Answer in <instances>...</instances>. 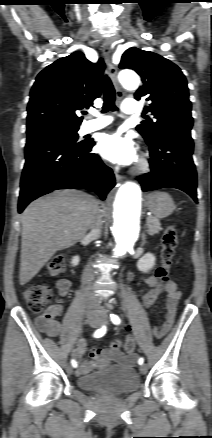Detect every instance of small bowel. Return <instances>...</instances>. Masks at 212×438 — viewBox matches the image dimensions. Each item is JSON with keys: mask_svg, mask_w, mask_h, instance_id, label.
I'll return each instance as SVG.
<instances>
[{"mask_svg": "<svg viewBox=\"0 0 212 438\" xmlns=\"http://www.w3.org/2000/svg\"><path fill=\"white\" fill-rule=\"evenodd\" d=\"M144 281L150 287H156L158 285V282L154 276L147 277L144 279ZM57 289L61 296H66L69 293L70 282L67 279H60L57 282ZM165 290L167 293V312L163 324L154 330V333L157 337H163L171 329L175 320L178 303L181 298V292L178 290L175 283L169 281L165 286ZM61 312L62 307L60 305H51L46 312L37 319L40 329L51 337L58 336L61 326L57 320V317L61 314ZM86 349L87 345L85 340H79L73 353L74 357L80 359L85 354ZM90 356L93 359L110 357L124 363H132L136 359V355H124L120 349L119 342L111 343L105 348H93L90 351ZM93 366L94 364L92 361H85L81 364L77 373L79 375L87 374L93 369Z\"/></svg>", "mask_w": 212, "mask_h": 438, "instance_id": "obj_1", "label": "small bowel"}]
</instances>
